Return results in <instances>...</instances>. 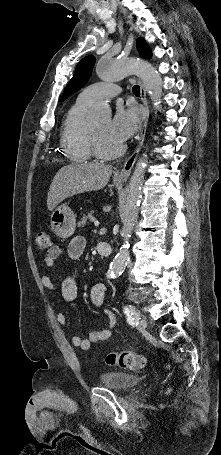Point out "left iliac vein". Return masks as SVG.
I'll use <instances>...</instances> for the list:
<instances>
[{"instance_id":"left-iliac-vein-1","label":"left iliac vein","mask_w":221,"mask_h":455,"mask_svg":"<svg viewBox=\"0 0 221 455\" xmlns=\"http://www.w3.org/2000/svg\"><path fill=\"white\" fill-rule=\"evenodd\" d=\"M146 327H147V321H146V319H145V318H141L140 321H139V323H138V329H139L140 331H143V330L146 329Z\"/></svg>"}]
</instances>
